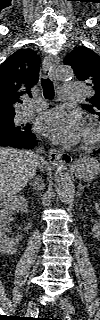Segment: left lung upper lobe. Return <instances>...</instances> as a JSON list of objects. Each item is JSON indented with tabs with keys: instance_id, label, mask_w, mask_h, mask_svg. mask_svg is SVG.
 <instances>
[{
	"instance_id": "1",
	"label": "left lung upper lobe",
	"mask_w": 100,
	"mask_h": 320,
	"mask_svg": "<svg viewBox=\"0 0 100 320\" xmlns=\"http://www.w3.org/2000/svg\"><path fill=\"white\" fill-rule=\"evenodd\" d=\"M64 63L72 66L78 80L86 81L93 89V94L86 99L83 108L100 116V56L91 49L80 46L71 51Z\"/></svg>"
}]
</instances>
